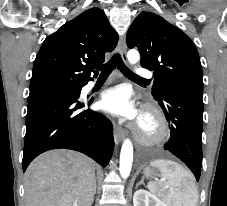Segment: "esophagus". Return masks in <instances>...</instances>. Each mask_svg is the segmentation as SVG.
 Returning <instances> with one entry per match:
<instances>
[{"label": "esophagus", "mask_w": 227, "mask_h": 206, "mask_svg": "<svg viewBox=\"0 0 227 206\" xmlns=\"http://www.w3.org/2000/svg\"><path fill=\"white\" fill-rule=\"evenodd\" d=\"M120 54L122 56L123 61L127 60V56H126V51H127V46H126V41H125V37L122 36L119 40V45H118ZM125 136V132L124 130L119 127L118 125H114V139L116 143H120Z\"/></svg>", "instance_id": "34e87169"}]
</instances>
